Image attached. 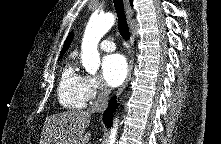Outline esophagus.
Listing matches in <instances>:
<instances>
[{
    "mask_svg": "<svg viewBox=\"0 0 221 144\" xmlns=\"http://www.w3.org/2000/svg\"><path fill=\"white\" fill-rule=\"evenodd\" d=\"M124 4H125V8H126L128 22L130 23L131 41L134 42V32H133V28L131 26V20L133 18L134 11H133V9L130 5L129 0H124ZM133 61L134 60H133V57H132L130 62H129V68H128V73H127L126 79H125L124 83L122 84V86L117 91V93H116L117 96H119L123 92V90L126 88V86L128 85V82L131 78V74H132V70H133Z\"/></svg>",
    "mask_w": 221,
    "mask_h": 144,
    "instance_id": "esophagus-1",
    "label": "esophagus"
}]
</instances>
